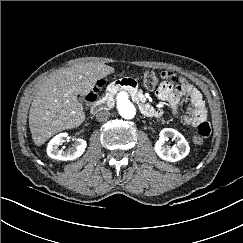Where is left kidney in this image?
Instances as JSON below:
<instances>
[{"label":"left kidney","mask_w":243,"mask_h":243,"mask_svg":"<svg viewBox=\"0 0 243 243\" xmlns=\"http://www.w3.org/2000/svg\"><path fill=\"white\" fill-rule=\"evenodd\" d=\"M159 140L155 143L156 154L165 161L177 162L185 158L190 151V147L184 136L172 128H164L159 134ZM169 138L176 141V145L169 148L165 146V141Z\"/></svg>","instance_id":"5707ae66"}]
</instances>
